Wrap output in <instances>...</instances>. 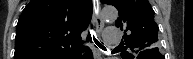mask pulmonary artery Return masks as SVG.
Wrapping results in <instances>:
<instances>
[{"instance_id": "obj_1", "label": "pulmonary artery", "mask_w": 193, "mask_h": 59, "mask_svg": "<svg viewBox=\"0 0 193 59\" xmlns=\"http://www.w3.org/2000/svg\"><path fill=\"white\" fill-rule=\"evenodd\" d=\"M106 36V41L110 44H116L118 39L116 34L113 33L112 29L107 30V32L105 33Z\"/></svg>"}]
</instances>
